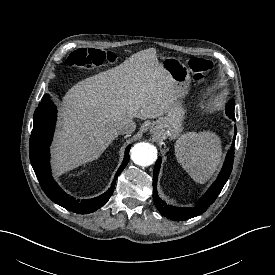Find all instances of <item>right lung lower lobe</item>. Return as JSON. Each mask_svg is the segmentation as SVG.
<instances>
[{"mask_svg": "<svg viewBox=\"0 0 275 275\" xmlns=\"http://www.w3.org/2000/svg\"><path fill=\"white\" fill-rule=\"evenodd\" d=\"M56 112V106L50 101L49 95L45 94L34 112L33 130L29 142L32 167L42 190L53 202L79 214L94 212L102 207L111 197L114 191L115 180L129 161L130 146L126 148L124 160L115 174L111 187L104 194L82 201L68 197L53 180L49 163V146L54 133Z\"/></svg>", "mask_w": 275, "mask_h": 275, "instance_id": "98d812e1", "label": "right lung lower lobe"}]
</instances>
